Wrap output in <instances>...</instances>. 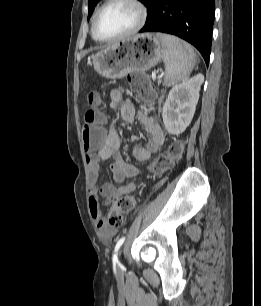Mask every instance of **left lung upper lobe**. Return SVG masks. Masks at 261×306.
<instances>
[{
	"instance_id": "1",
	"label": "left lung upper lobe",
	"mask_w": 261,
	"mask_h": 306,
	"mask_svg": "<svg viewBox=\"0 0 261 306\" xmlns=\"http://www.w3.org/2000/svg\"><path fill=\"white\" fill-rule=\"evenodd\" d=\"M100 0H88V3H89V14H88V20L89 18L91 17L93 11H94V8L95 6L97 5V3L99 2ZM140 2H142L145 6L148 5V3L150 2V0H139Z\"/></svg>"
}]
</instances>
